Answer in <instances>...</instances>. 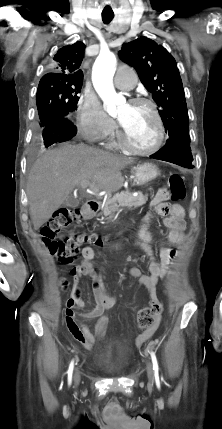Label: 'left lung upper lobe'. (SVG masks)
Returning <instances> with one entry per match:
<instances>
[{"label": "left lung upper lobe", "mask_w": 222, "mask_h": 429, "mask_svg": "<svg viewBox=\"0 0 222 429\" xmlns=\"http://www.w3.org/2000/svg\"><path fill=\"white\" fill-rule=\"evenodd\" d=\"M118 54L121 60L135 68L142 84L152 93L169 135L167 142L175 139L190 142L184 89L172 55L146 37L123 44Z\"/></svg>", "instance_id": "obj_1"}]
</instances>
